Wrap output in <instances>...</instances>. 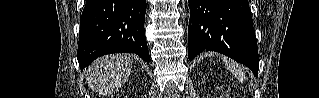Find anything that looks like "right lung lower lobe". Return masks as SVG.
Returning a JSON list of instances; mask_svg holds the SVG:
<instances>
[{
    "mask_svg": "<svg viewBox=\"0 0 319 98\" xmlns=\"http://www.w3.org/2000/svg\"><path fill=\"white\" fill-rule=\"evenodd\" d=\"M145 13L146 0H86L77 51L81 70L110 53H136L149 64Z\"/></svg>",
    "mask_w": 319,
    "mask_h": 98,
    "instance_id": "1",
    "label": "right lung lower lobe"
}]
</instances>
